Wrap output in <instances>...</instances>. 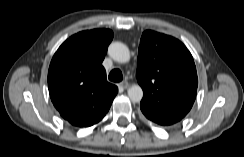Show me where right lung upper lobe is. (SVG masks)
Masks as SVG:
<instances>
[{"mask_svg": "<svg viewBox=\"0 0 244 157\" xmlns=\"http://www.w3.org/2000/svg\"><path fill=\"white\" fill-rule=\"evenodd\" d=\"M113 39L109 29L82 31L54 54L48 71L51 100L73 126L89 127L109 111L118 88L107 82L101 65Z\"/></svg>", "mask_w": 244, "mask_h": 157, "instance_id": "obj_1", "label": "right lung upper lobe"}]
</instances>
